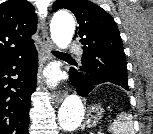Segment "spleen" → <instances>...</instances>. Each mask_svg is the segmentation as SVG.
<instances>
[{"label": "spleen", "mask_w": 153, "mask_h": 134, "mask_svg": "<svg viewBox=\"0 0 153 134\" xmlns=\"http://www.w3.org/2000/svg\"><path fill=\"white\" fill-rule=\"evenodd\" d=\"M132 115L121 112L109 126V132L112 134H134Z\"/></svg>", "instance_id": "obj_1"}]
</instances>
